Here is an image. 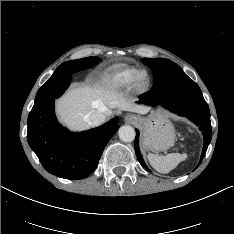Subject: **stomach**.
<instances>
[{"instance_id":"obj_1","label":"stomach","mask_w":234,"mask_h":234,"mask_svg":"<svg viewBox=\"0 0 234 234\" xmlns=\"http://www.w3.org/2000/svg\"><path fill=\"white\" fill-rule=\"evenodd\" d=\"M143 129L142 146L147 151L160 152L172 147L176 140L175 128L168 117L161 112H152L140 118Z\"/></svg>"}]
</instances>
